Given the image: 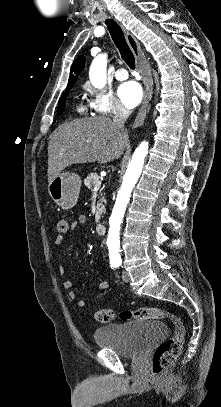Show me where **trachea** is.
Returning <instances> with one entry per match:
<instances>
[{
	"label": "trachea",
	"instance_id": "obj_1",
	"mask_svg": "<svg viewBox=\"0 0 221 407\" xmlns=\"http://www.w3.org/2000/svg\"><path fill=\"white\" fill-rule=\"evenodd\" d=\"M105 23L116 47L118 48L121 54L122 59L131 69H135V57L129 45L126 42L121 27L113 19H107Z\"/></svg>",
	"mask_w": 221,
	"mask_h": 407
}]
</instances>
